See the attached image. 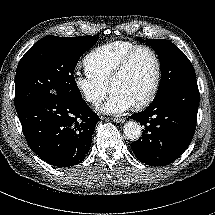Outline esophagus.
<instances>
[{
  "label": "esophagus",
  "instance_id": "obj_1",
  "mask_svg": "<svg viewBox=\"0 0 215 215\" xmlns=\"http://www.w3.org/2000/svg\"><path fill=\"white\" fill-rule=\"evenodd\" d=\"M113 121L117 123H123L125 121V118L124 117L114 118Z\"/></svg>",
  "mask_w": 215,
  "mask_h": 215
}]
</instances>
